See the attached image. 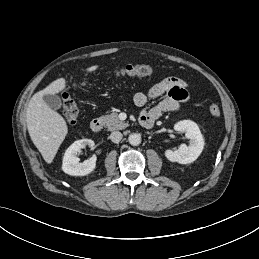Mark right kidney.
<instances>
[{"mask_svg": "<svg viewBox=\"0 0 259 259\" xmlns=\"http://www.w3.org/2000/svg\"><path fill=\"white\" fill-rule=\"evenodd\" d=\"M86 146L93 147L94 141L91 139H81L75 141L68 147L64 154L62 163V170L66 174L72 176H85L90 174L95 169L96 156L85 160L83 163H79L80 159L77 157V154Z\"/></svg>", "mask_w": 259, "mask_h": 259, "instance_id": "ca27d5eb", "label": "right kidney"}]
</instances>
